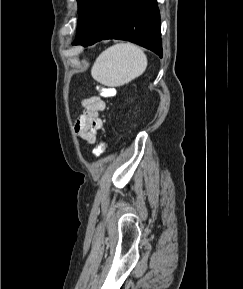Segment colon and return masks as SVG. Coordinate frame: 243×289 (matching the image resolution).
Returning a JSON list of instances; mask_svg holds the SVG:
<instances>
[{"label":"colon","instance_id":"5ec220e1","mask_svg":"<svg viewBox=\"0 0 243 289\" xmlns=\"http://www.w3.org/2000/svg\"><path fill=\"white\" fill-rule=\"evenodd\" d=\"M98 90L103 97H111L114 95V89L110 87H99ZM105 148V142L99 143L94 149L95 156H101L105 152Z\"/></svg>","mask_w":243,"mask_h":289}]
</instances>
